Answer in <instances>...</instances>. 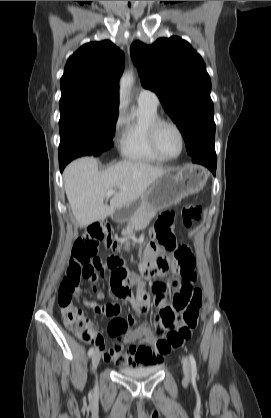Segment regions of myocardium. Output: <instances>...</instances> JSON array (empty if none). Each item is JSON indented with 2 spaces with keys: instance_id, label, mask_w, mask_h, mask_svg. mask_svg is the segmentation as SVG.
<instances>
[{
  "instance_id": "f54148a6",
  "label": "myocardium",
  "mask_w": 271,
  "mask_h": 418,
  "mask_svg": "<svg viewBox=\"0 0 271 418\" xmlns=\"http://www.w3.org/2000/svg\"><path fill=\"white\" fill-rule=\"evenodd\" d=\"M164 126L172 127L177 132V134L179 136L180 150H179L178 154L175 155V156L166 155L162 151V149L160 148V145H159V142H158V135H159L160 129ZM149 140H150L151 147L155 151V153L157 155H159L161 158H163L165 161H171V160L178 159L184 151V147H185L184 133H183L182 129L180 128V126L177 123H175L174 121L168 120V119L159 118L155 122H153V124L151 125V127L149 129Z\"/></svg>"
}]
</instances>
